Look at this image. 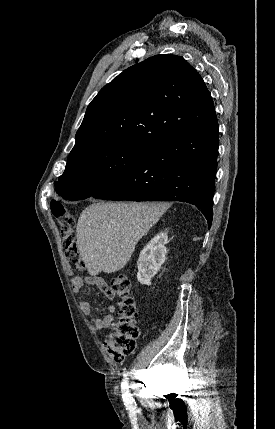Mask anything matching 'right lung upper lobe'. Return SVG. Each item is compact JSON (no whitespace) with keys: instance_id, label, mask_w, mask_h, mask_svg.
Wrapping results in <instances>:
<instances>
[{"instance_id":"cb5924a9","label":"right lung upper lobe","mask_w":275,"mask_h":429,"mask_svg":"<svg viewBox=\"0 0 275 429\" xmlns=\"http://www.w3.org/2000/svg\"><path fill=\"white\" fill-rule=\"evenodd\" d=\"M215 121L212 97L199 73L183 57L156 55L99 91L67 161L116 144L151 149L173 134Z\"/></svg>"}]
</instances>
